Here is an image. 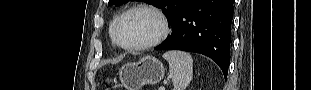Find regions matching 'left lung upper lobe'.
Listing matches in <instances>:
<instances>
[{
    "label": "left lung upper lobe",
    "instance_id": "1",
    "mask_svg": "<svg viewBox=\"0 0 311 90\" xmlns=\"http://www.w3.org/2000/svg\"><path fill=\"white\" fill-rule=\"evenodd\" d=\"M127 1L129 0H110L108 5H119ZM192 1L194 0H146L147 3H153L155 7L162 9V12L171 21V26Z\"/></svg>",
    "mask_w": 311,
    "mask_h": 90
}]
</instances>
